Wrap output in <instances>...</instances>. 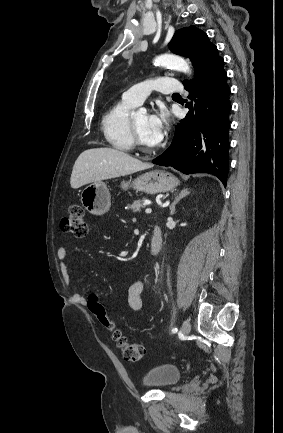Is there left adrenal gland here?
<instances>
[{
	"label": "left adrenal gland",
	"instance_id": "left-adrenal-gland-1",
	"mask_svg": "<svg viewBox=\"0 0 283 433\" xmlns=\"http://www.w3.org/2000/svg\"><path fill=\"white\" fill-rule=\"evenodd\" d=\"M186 194H189L188 188H183V190H180L178 194L175 196V200H173L172 204H170V214H175V204L179 202L180 198H183V196H186Z\"/></svg>",
	"mask_w": 283,
	"mask_h": 433
}]
</instances>
